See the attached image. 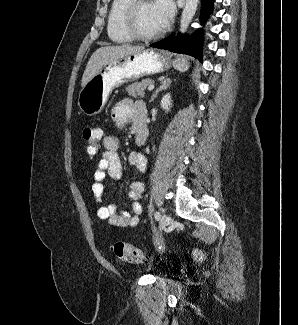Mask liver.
Masks as SVG:
<instances>
[{
  "label": "liver",
  "instance_id": "1",
  "mask_svg": "<svg viewBox=\"0 0 298 325\" xmlns=\"http://www.w3.org/2000/svg\"><path fill=\"white\" fill-rule=\"evenodd\" d=\"M145 50V46H132V44H119V46H100L91 54L81 78V88L89 82L90 78L99 72L103 64L113 58H124L127 54H137Z\"/></svg>",
  "mask_w": 298,
  "mask_h": 325
}]
</instances>
